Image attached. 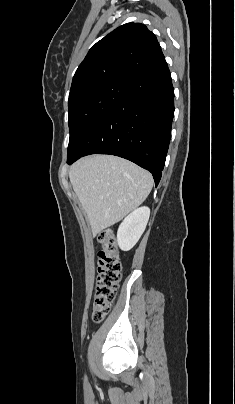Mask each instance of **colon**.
I'll list each match as a JSON object with an SVG mask.
<instances>
[{
    "instance_id": "colon-1",
    "label": "colon",
    "mask_w": 235,
    "mask_h": 404,
    "mask_svg": "<svg viewBox=\"0 0 235 404\" xmlns=\"http://www.w3.org/2000/svg\"><path fill=\"white\" fill-rule=\"evenodd\" d=\"M98 275L93 302V320L101 322L108 314L116 298L121 278V263L115 236L111 231L102 232L98 237Z\"/></svg>"
}]
</instances>
